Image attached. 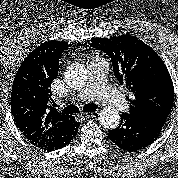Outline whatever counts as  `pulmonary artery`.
I'll return each mask as SVG.
<instances>
[{"instance_id": "pulmonary-artery-1", "label": "pulmonary artery", "mask_w": 178, "mask_h": 178, "mask_svg": "<svg viewBox=\"0 0 178 178\" xmlns=\"http://www.w3.org/2000/svg\"><path fill=\"white\" fill-rule=\"evenodd\" d=\"M89 78L86 85L80 89L75 98L79 101L99 99L118 109L127 107V102L118 90L107 80L108 63L101 57L94 56L88 63Z\"/></svg>"}]
</instances>
